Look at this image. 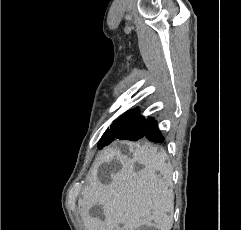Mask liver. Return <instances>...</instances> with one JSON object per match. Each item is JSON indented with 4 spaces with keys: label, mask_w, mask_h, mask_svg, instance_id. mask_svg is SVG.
<instances>
[{
    "label": "liver",
    "mask_w": 241,
    "mask_h": 230,
    "mask_svg": "<svg viewBox=\"0 0 241 230\" xmlns=\"http://www.w3.org/2000/svg\"><path fill=\"white\" fill-rule=\"evenodd\" d=\"M127 145L132 158L116 148L105 149L99 155L97 169L102 164L110 168L117 161L119 170L112 172L110 168L111 182L107 184L100 182L97 171L88 178L89 184L78 200L86 230H134L152 221L155 228L170 230L174 202L172 193H167L172 186V169L166 163V151H158L154 146ZM135 163L144 166L140 173L134 171ZM95 205L102 206L104 220L90 214Z\"/></svg>",
    "instance_id": "obj_1"
}]
</instances>
